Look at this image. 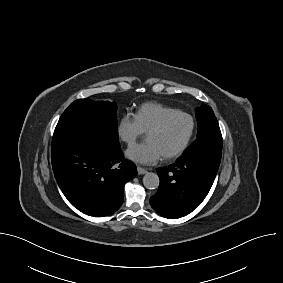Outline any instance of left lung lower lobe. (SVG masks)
I'll list each match as a JSON object with an SVG mask.
<instances>
[{
	"mask_svg": "<svg viewBox=\"0 0 283 283\" xmlns=\"http://www.w3.org/2000/svg\"><path fill=\"white\" fill-rule=\"evenodd\" d=\"M220 161L205 153H193L169 167L158 168L160 184L150 198L152 208L169 219L191 213L207 196Z\"/></svg>",
	"mask_w": 283,
	"mask_h": 283,
	"instance_id": "1",
	"label": "left lung lower lobe"
}]
</instances>
